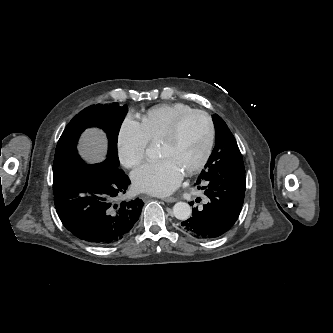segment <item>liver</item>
Returning <instances> with one entry per match:
<instances>
[{"label":"liver","instance_id":"1","mask_svg":"<svg viewBox=\"0 0 333 333\" xmlns=\"http://www.w3.org/2000/svg\"><path fill=\"white\" fill-rule=\"evenodd\" d=\"M80 154L87 160L99 161L106 152V137L96 128L86 130L79 146Z\"/></svg>","mask_w":333,"mask_h":333}]
</instances>
